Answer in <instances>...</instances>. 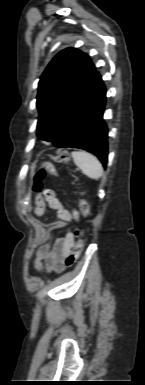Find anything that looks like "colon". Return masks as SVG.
<instances>
[{"instance_id":"5ec220e1","label":"colon","mask_w":145,"mask_h":385,"mask_svg":"<svg viewBox=\"0 0 145 385\" xmlns=\"http://www.w3.org/2000/svg\"><path fill=\"white\" fill-rule=\"evenodd\" d=\"M54 160L57 163L66 164L69 161V155L67 152H61L54 156ZM47 174H51L53 176L58 175L56 167L51 162H45L42 167L38 169L37 172L34 174L32 188L35 192H40L42 190V182ZM78 206L81 215L84 218H87L90 215V206L88 202L84 198H79ZM73 212L75 215L79 214V212L76 210H74ZM74 234L77 237V241L74 245L71 255L68 258V263L70 265L74 264L77 261L84 248V230L77 229Z\"/></svg>"}]
</instances>
